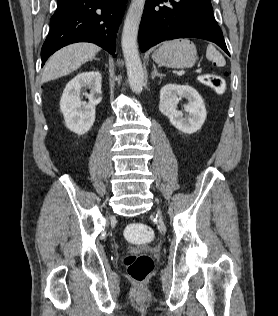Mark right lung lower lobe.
Instances as JSON below:
<instances>
[{"instance_id": "1", "label": "right lung lower lobe", "mask_w": 278, "mask_h": 316, "mask_svg": "<svg viewBox=\"0 0 278 316\" xmlns=\"http://www.w3.org/2000/svg\"><path fill=\"white\" fill-rule=\"evenodd\" d=\"M50 32L41 50L42 66L58 49L76 42L95 43L110 54L126 0H57ZM115 57V55H114Z\"/></svg>"}]
</instances>
